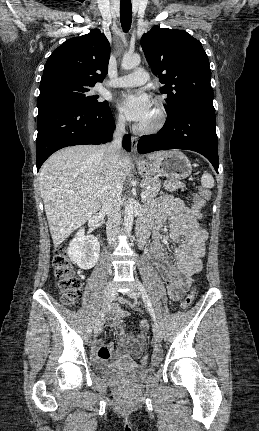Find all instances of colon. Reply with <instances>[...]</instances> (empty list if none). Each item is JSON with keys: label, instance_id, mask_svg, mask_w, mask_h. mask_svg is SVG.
<instances>
[{"label": "colon", "instance_id": "obj_1", "mask_svg": "<svg viewBox=\"0 0 259 431\" xmlns=\"http://www.w3.org/2000/svg\"><path fill=\"white\" fill-rule=\"evenodd\" d=\"M209 198L210 193L206 189H201L199 194L195 197L191 208L194 212L193 217L196 220H200L203 217L202 207ZM53 267L56 286L61 294L63 302L70 306L76 304L81 298V282L68 259L65 247L57 249L53 258ZM194 297L195 291L191 290L183 299L181 304L182 308L188 309L192 305ZM141 362L144 365L148 364L149 356L145 355Z\"/></svg>", "mask_w": 259, "mask_h": 431}]
</instances>
